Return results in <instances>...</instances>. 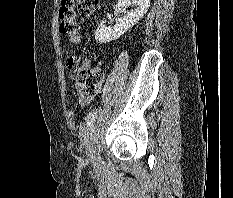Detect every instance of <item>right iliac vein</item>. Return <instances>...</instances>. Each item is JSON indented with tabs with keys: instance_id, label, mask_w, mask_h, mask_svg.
<instances>
[{
	"instance_id": "obj_1",
	"label": "right iliac vein",
	"mask_w": 233,
	"mask_h": 198,
	"mask_svg": "<svg viewBox=\"0 0 233 198\" xmlns=\"http://www.w3.org/2000/svg\"><path fill=\"white\" fill-rule=\"evenodd\" d=\"M93 130V126L91 127V131ZM89 142V146H88V150L91 156L92 161L95 164H98L100 162V156L98 155V153L95 151V149L93 148L91 139L88 141Z\"/></svg>"
}]
</instances>
